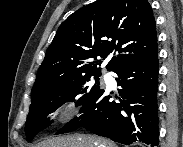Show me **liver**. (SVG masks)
<instances>
[{"mask_svg":"<svg viewBox=\"0 0 183 147\" xmlns=\"http://www.w3.org/2000/svg\"><path fill=\"white\" fill-rule=\"evenodd\" d=\"M35 147H116V145L103 138L76 134L46 139Z\"/></svg>","mask_w":183,"mask_h":147,"instance_id":"1","label":"liver"}]
</instances>
